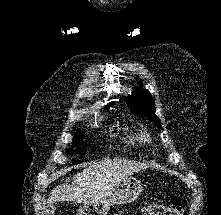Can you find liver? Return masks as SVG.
Returning a JSON list of instances; mask_svg holds the SVG:
<instances>
[{"mask_svg":"<svg viewBox=\"0 0 221 215\" xmlns=\"http://www.w3.org/2000/svg\"><path fill=\"white\" fill-rule=\"evenodd\" d=\"M146 168L143 163L126 159H104L91 163L77 174L72 184L54 188L47 200L49 205L56 202L74 201L92 204L109 194L122 180Z\"/></svg>","mask_w":221,"mask_h":215,"instance_id":"liver-1","label":"liver"}]
</instances>
